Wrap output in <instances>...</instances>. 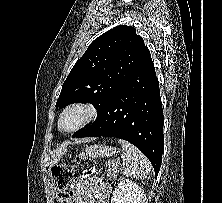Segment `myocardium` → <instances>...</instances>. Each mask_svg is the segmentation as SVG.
Masks as SVG:
<instances>
[{
    "instance_id": "obj_1",
    "label": "myocardium",
    "mask_w": 222,
    "mask_h": 203,
    "mask_svg": "<svg viewBox=\"0 0 222 203\" xmlns=\"http://www.w3.org/2000/svg\"><path fill=\"white\" fill-rule=\"evenodd\" d=\"M73 110H79L83 112L84 114L83 119L74 127L70 129H63L61 127L62 119L67 113ZM97 116H98V110L94 105L83 101L73 102L65 106L61 111L58 118L57 127L58 130L63 133H73L92 123L97 118Z\"/></svg>"
}]
</instances>
